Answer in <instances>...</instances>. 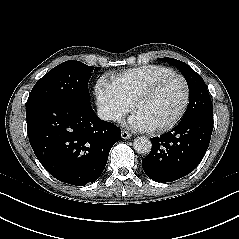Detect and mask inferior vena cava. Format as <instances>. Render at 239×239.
<instances>
[{
    "label": "inferior vena cava",
    "instance_id": "obj_1",
    "mask_svg": "<svg viewBox=\"0 0 239 239\" xmlns=\"http://www.w3.org/2000/svg\"><path fill=\"white\" fill-rule=\"evenodd\" d=\"M97 115L100 119L105 120V121H110V120H115L116 119V116H115L114 112H112L107 107L98 108Z\"/></svg>",
    "mask_w": 239,
    "mask_h": 239
}]
</instances>
